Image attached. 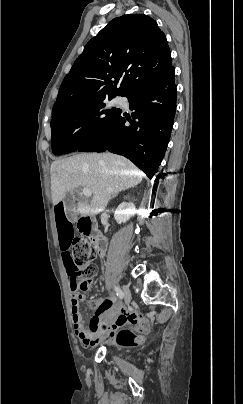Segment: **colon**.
Listing matches in <instances>:
<instances>
[{
  "label": "colon",
  "instance_id": "1",
  "mask_svg": "<svg viewBox=\"0 0 243 404\" xmlns=\"http://www.w3.org/2000/svg\"><path fill=\"white\" fill-rule=\"evenodd\" d=\"M73 277L81 290H88L91 280L97 272L94 251L91 243L86 239H76L72 248ZM116 340L119 345H128L135 341V336L129 329H121Z\"/></svg>",
  "mask_w": 243,
  "mask_h": 404
}]
</instances>
